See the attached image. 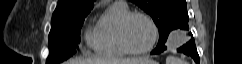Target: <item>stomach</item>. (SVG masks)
I'll list each match as a JSON object with an SVG mask.
<instances>
[{"label": "stomach", "instance_id": "1", "mask_svg": "<svg viewBox=\"0 0 242 64\" xmlns=\"http://www.w3.org/2000/svg\"><path fill=\"white\" fill-rule=\"evenodd\" d=\"M142 64H157V63L155 61H153V60H149L148 62L142 63Z\"/></svg>", "mask_w": 242, "mask_h": 64}]
</instances>
